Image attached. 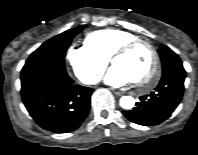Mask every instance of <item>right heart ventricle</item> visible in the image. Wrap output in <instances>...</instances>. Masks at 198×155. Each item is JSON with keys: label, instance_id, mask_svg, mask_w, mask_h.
<instances>
[{"label": "right heart ventricle", "instance_id": "obj_1", "mask_svg": "<svg viewBox=\"0 0 198 155\" xmlns=\"http://www.w3.org/2000/svg\"><path fill=\"white\" fill-rule=\"evenodd\" d=\"M135 38L137 36L131 32L117 28H107L90 33L86 37V45L103 58L109 59L119 46Z\"/></svg>", "mask_w": 198, "mask_h": 155}]
</instances>
